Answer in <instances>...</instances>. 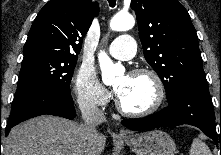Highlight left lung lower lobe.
I'll return each mask as SVG.
<instances>
[{"mask_svg": "<svg viewBox=\"0 0 221 155\" xmlns=\"http://www.w3.org/2000/svg\"><path fill=\"white\" fill-rule=\"evenodd\" d=\"M122 124L131 130H148L164 126L189 124L200 128L218 145L215 114L207 83L186 87L160 112L144 118L126 119L122 121Z\"/></svg>", "mask_w": 221, "mask_h": 155, "instance_id": "1", "label": "left lung lower lobe"}]
</instances>
